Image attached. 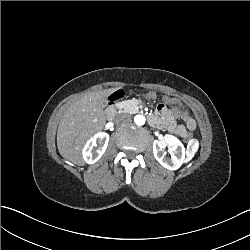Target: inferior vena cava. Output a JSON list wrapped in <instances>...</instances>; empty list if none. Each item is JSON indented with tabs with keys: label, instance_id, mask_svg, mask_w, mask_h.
Masks as SVG:
<instances>
[{
	"label": "inferior vena cava",
	"instance_id": "inferior-vena-cava-1",
	"mask_svg": "<svg viewBox=\"0 0 250 250\" xmlns=\"http://www.w3.org/2000/svg\"><path fill=\"white\" fill-rule=\"evenodd\" d=\"M116 121L121 124H128L132 122L131 114H128V113L119 114L117 115Z\"/></svg>",
	"mask_w": 250,
	"mask_h": 250
}]
</instances>
